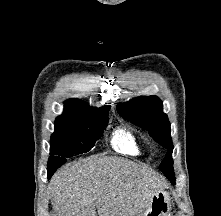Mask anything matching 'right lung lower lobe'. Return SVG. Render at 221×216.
Instances as JSON below:
<instances>
[{"instance_id": "right-lung-lower-lobe-1", "label": "right lung lower lobe", "mask_w": 221, "mask_h": 216, "mask_svg": "<svg viewBox=\"0 0 221 216\" xmlns=\"http://www.w3.org/2000/svg\"><path fill=\"white\" fill-rule=\"evenodd\" d=\"M57 168H58V167H55V168L52 169L53 173L56 171ZM53 173H52V174H51V173H48V178H51V176L53 175Z\"/></svg>"}]
</instances>
